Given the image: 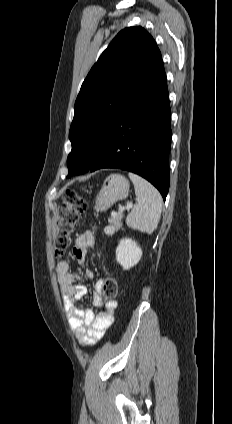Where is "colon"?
Instances as JSON below:
<instances>
[{"label":"colon","instance_id":"colon-1","mask_svg":"<svg viewBox=\"0 0 232 424\" xmlns=\"http://www.w3.org/2000/svg\"><path fill=\"white\" fill-rule=\"evenodd\" d=\"M88 202L79 192L68 189L63 195V200L58 208L56 220V241L54 254L56 257L63 255L67 243L79 221L80 214L87 208ZM118 293L117 280L112 275L103 279L101 296L113 299Z\"/></svg>","mask_w":232,"mask_h":424}]
</instances>
